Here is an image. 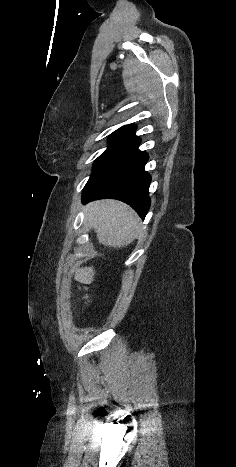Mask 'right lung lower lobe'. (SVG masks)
Wrapping results in <instances>:
<instances>
[{
    "instance_id": "obj_1",
    "label": "right lung lower lobe",
    "mask_w": 236,
    "mask_h": 467,
    "mask_svg": "<svg viewBox=\"0 0 236 467\" xmlns=\"http://www.w3.org/2000/svg\"><path fill=\"white\" fill-rule=\"evenodd\" d=\"M136 138L93 170L82 193V202L112 198L129 204L141 218L150 208L151 176L144 170L148 154L138 150Z\"/></svg>"
}]
</instances>
